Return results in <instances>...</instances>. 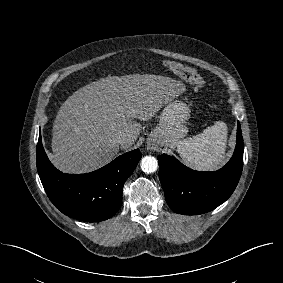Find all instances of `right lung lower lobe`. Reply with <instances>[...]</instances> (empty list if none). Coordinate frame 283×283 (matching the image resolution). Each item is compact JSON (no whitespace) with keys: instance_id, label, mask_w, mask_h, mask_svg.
Wrapping results in <instances>:
<instances>
[{"instance_id":"obj_1","label":"right lung lower lobe","mask_w":283,"mask_h":283,"mask_svg":"<svg viewBox=\"0 0 283 283\" xmlns=\"http://www.w3.org/2000/svg\"><path fill=\"white\" fill-rule=\"evenodd\" d=\"M141 152H127L103 168L87 174H64L49 161L42 145L37 144V169L51 202L63 214L86 222H100L112 217L122 204V190L133 173Z\"/></svg>"}]
</instances>
